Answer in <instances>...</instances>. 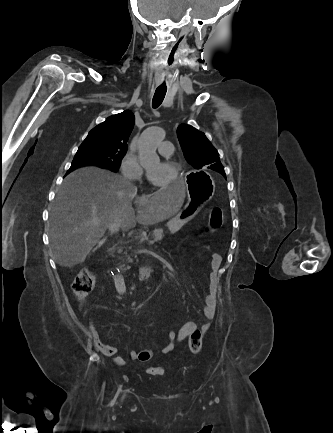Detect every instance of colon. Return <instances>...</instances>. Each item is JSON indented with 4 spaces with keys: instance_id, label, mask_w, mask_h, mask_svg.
Returning a JSON list of instances; mask_svg holds the SVG:
<instances>
[{
    "instance_id": "obj_1",
    "label": "colon",
    "mask_w": 333,
    "mask_h": 433,
    "mask_svg": "<svg viewBox=\"0 0 333 433\" xmlns=\"http://www.w3.org/2000/svg\"><path fill=\"white\" fill-rule=\"evenodd\" d=\"M223 212L219 207H214L209 212L208 230L215 231L222 226ZM95 276L89 269L82 270L74 279L72 290L79 299L86 297L95 286ZM202 333L194 330L189 336V349L193 354H198L202 347ZM146 372L150 375L164 374V368L161 366H149Z\"/></svg>"
}]
</instances>
